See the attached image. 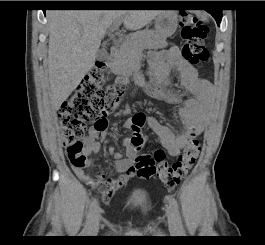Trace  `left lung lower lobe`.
I'll return each instance as SVG.
<instances>
[{"instance_id": "obj_1", "label": "left lung lower lobe", "mask_w": 265, "mask_h": 245, "mask_svg": "<svg viewBox=\"0 0 265 245\" xmlns=\"http://www.w3.org/2000/svg\"><path fill=\"white\" fill-rule=\"evenodd\" d=\"M215 18L218 26L220 25L222 19V10L221 9H210L207 10Z\"/></svg>"}]
</instances>
